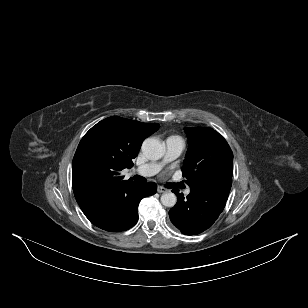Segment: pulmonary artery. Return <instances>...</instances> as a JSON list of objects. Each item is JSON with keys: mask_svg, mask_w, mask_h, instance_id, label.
<instances>
[{"mask_svg": "<svg viewBox=\"0 0 308 308\" xmlns=\"http://www.w3.org/2000/svg\"><path fill=\"white\" fill-rule=\"evenodd\" d=\"M184 148V142L182 139L178 137H170L165 141V155L161 162H151L145 165H142L135 169V172L145 176H153L157 174L162 166L170 161L175 160L177 157L180 156ZM190 193V190L187 189L185 191V194L188 195Z\"/></svg>", "mask_w": 308, "mask_h": 308, "instance_id": "e3ab8cb5", "label": "pulmonary artery"}]
</instances>
